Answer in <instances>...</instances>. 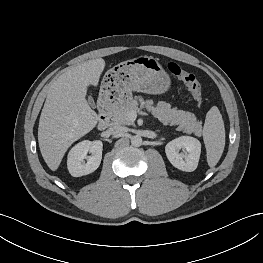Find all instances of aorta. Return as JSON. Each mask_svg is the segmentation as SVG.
Masks as SVG:
<instances>
[{
	"label": "aorta",
	"instance_id": "762f6f07",
	"mask_svg": "<svg viewBox=\"0 0 263 263\" xmlns=\"http://www.w3.org/2000/svg\"><path fill=\"white\" fill-rule=\"evenodd\" d=\"M131 144L134 147H139L142 145V138L138 135H135L131 138Z\"/></svg>",
	"mask_w": 263,
	"mask_h": 263
}]
</instances>
